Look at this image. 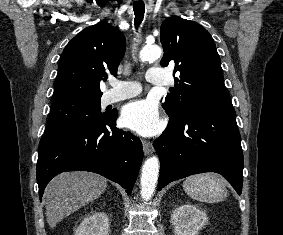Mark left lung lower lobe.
<instances>
[{
	"mask_svg": "<svg viewBox=\"0 0 283 235\" xmlns=\"http://www.w3.org/2000/svg\"><path fill=\"white\" fill-rule=\"evenodd\" d=\"M154 148L161 162L158 190L172 181L212 171L241 194L244 163L234 108L196 111L169 120Z\"/></svg>",
	"mask_w": 283,
	"mask_h": 235,
	"instance_id": "1",
	"label": "left lung lower lobe"
}]
</instances>
